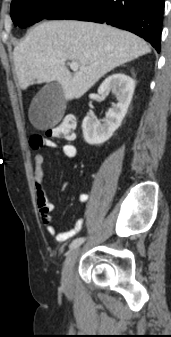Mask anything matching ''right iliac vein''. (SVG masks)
<instances>
[{
    "label": "right iliac vein",
    "instance_id": "obj_1",
    "mask_svg": "<svg viewBox=\"0 0 171 337\" xmlns=\"http://www.w3.org/2000/svg\"><path fill=\"white\" fill-rule=\"evenodd\" d=\"M79 248L73 249L67 256L62 270V285L66 294L70 295L73 291V269L79 256Z\"/></svg>",
    "mask_w": 171,
    "mask_h": 337
}]
</instances>
